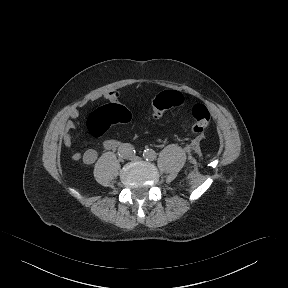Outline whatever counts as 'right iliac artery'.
Listing matches in <instances>:
<instances>
[{"instance_id": "1", "label": "right iliac artery", "mask_w": 288, "mask_h": 288, "mask_svg": "<svg viewBox=\"0 0 288 288\" xmlns=\"http://www.w3.org/2000/svg\"><path fill=\"white\" fill-rule=\"evenodd\" d=\"M124 149H125V148H123V147L121 148V147H120V148H119V151H120V152H121V151H124Z\"/></svg>"}]
</instances>
